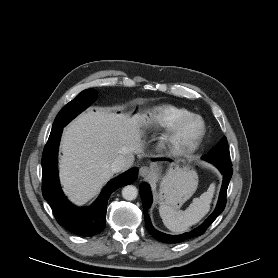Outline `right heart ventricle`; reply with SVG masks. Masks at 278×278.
I'll return each mask as SVG.
<instances>
[{"label":"right heart ventricle","mask_w":278,"mask_h":278,"mask_svg":"<svg viewBox=\"0 0 278 278\" xmlns=\"http://www.w3.org/2000/svg\"><path fill=\"white\" fill-rule=\"evenodd\" d=\"M189 114L191 112L188 109L169 104L155 106L148 112L150 121L164 129L172 128L181 118Z\"/></svg>","instance_id":"right-heart-ventricle-1"}]
</instances>
